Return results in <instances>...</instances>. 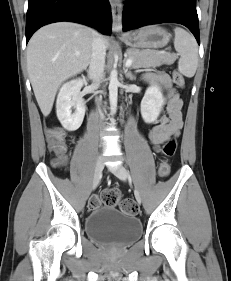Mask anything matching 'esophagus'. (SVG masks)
<instances>
[{"instance_id": "obj_1", "label": "esophagus", "mask_w": 231, "mask_h": 281, "mask_svg": "<svg viewBox=\"0 0 231 281\" xmlns=\"http://www.w3.org/2000/svg\"><path fill=\"white\" fill-rule=\"evenodd\" d=\"M112 17H113V31H122V3L120 0H109Z\"/></svg>"}]
</instances>
